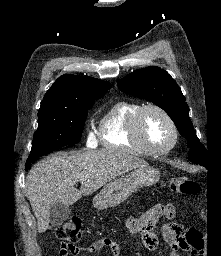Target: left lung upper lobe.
<instances>
[{
	"mask_svg": "<svg viewBox=\"0 0 221 256\" xmlns=\"http://www.w3.org/2000/svg\"><path fill=\"white\" fill-rule=\"evenodd\" d=\"M119 88L128 94L153 102L165 110L182 136L188 140L189 160L206 166L208 154L199 141L193 124L188 115V105L185 102L180 87L163 69L152 66L136 70L118 81Z\"/></svg>",
	"mask_w": 221,
	"mask_h": 256,
	"instance_id": "1",
	"label": "left lung upper lobe"
}]
</instances>
